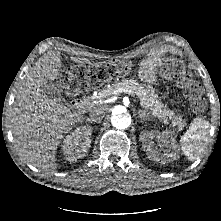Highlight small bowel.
I'll return each mask as SVG.
<instances>
[{
    "label": "small bowel",
    "mask_w": 221,
    "mask_h": 221,
    "mask_svg": "<svg viewBox=\"0 0 221 221\" xmlns=\"http://www.w3.org/2000/svg\"><path fill=\"white\" fill-rule=\"evenodd\" d=\"M155 61L153 59H146L139 68V78L145 83L154 84L156 82Z\"/></svg>",
    "instance_id": "obj_1"
}]
</instances>
